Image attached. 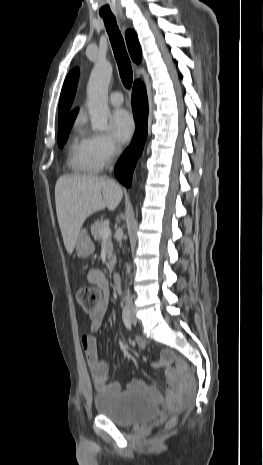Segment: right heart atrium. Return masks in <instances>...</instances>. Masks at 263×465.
<instances>
[{"instance_id":"d8ad5b80","label":"right heart atrium","mask_w":263,"mask_h":465,"mask_svg":"<svg viewBox=\"0 0 263 465\" xmlns=\"http://www.w3.org/2000/svg\"><path fill=\"white\" fill-rule=\"evenodd\" d=\"M91 154L99 168L109 163L118 153L119 145L106 133H95L90 136Z\"/></svg>"}]
</instances>
